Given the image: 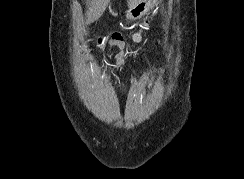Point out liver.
<instances>
[{"label":"liver","instance_id":"obj_1","mask_svg":"<svg viewBox=\"0 0 244 179\" xmlns=\"http://www.w3.org/2000/svg\"><path fill=\"white\" fill-rule=\"evenodd\" d=\"M110 0H93L92 8H89L86 18L87 22H94L97 18H100L101 14L105 12L106 6H108Z\"/></svg>","mask_w":244,"mask_h":179}]
</instances>
